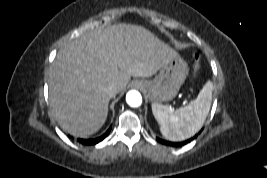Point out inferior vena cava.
Here are the masks:
<instances>
[{"mask_svg": "<svg viewBox=\"0 0 267 178\" xmlns=\"http://www.w3.org/2000/svg\"><path fill=\"white\" fill-rule=\"evenodd\" d=\"M106 93L108 94V96L113 97L118 93V89L117 86L115 84H109L106 87Z\"/></svg>", "mask_w": 267, "mask_h": 178, "instance_id": "obj_1", "label": "inferior vena cava"}]
</instances>
